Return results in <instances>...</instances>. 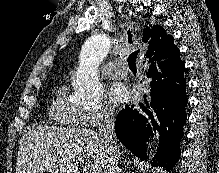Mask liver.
I'll return each mask as SVG.
<instances>
[{"label":"liver","mask_w":219,"mask_h":173,"mask_svg":"<svg viewBox=\"0 0 219 173\" xmlns=\"http://www.w3.org/2000/svg\"><path fill=\"white\" fill-rule=\"evenodd\" d=\"M118 147L121 157L123 146ZM108 158L95 131L39 126L21 138L16 173H79V162L83 173H106Z\"/></svg>","instance_id":"6515ba94"}]
</instances>
